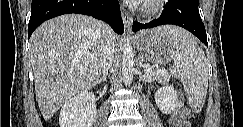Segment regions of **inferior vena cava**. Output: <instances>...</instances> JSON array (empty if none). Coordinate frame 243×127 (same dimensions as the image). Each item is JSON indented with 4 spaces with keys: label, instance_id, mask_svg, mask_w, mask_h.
I'll use <instances>...</instances> for the list:
<instances>
[{
    "label": "inferior vena cava",
    "instance_id": "obj_1",
    "mask_svg": "<svg viewBox=\"0 0 243 127\" xmlns=\"http://www.w3.org/2000/svg\"><path fill=\"white\" fill-rule=\"evenodd\" d=\"M105 31L108 32L109 36L105 38V42L102 50L101 71L103 75L108 74V70L110 69L114 59V50H115V44L110 39V36L113 33V31L108 26H106Z\"/></svg>",
    "mask_w": 243,
    "mask_h": 127
}]
</instances>
